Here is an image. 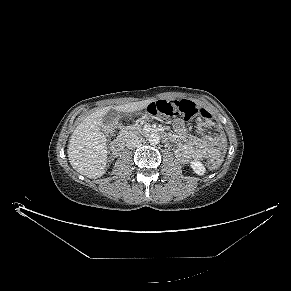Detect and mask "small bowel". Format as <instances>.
Wrapping results in <instances>:
<instances>
[{
	"label": "small bowel",
	"instance_id": "c3829d8e",
	"mask_svg": "<svg viewBox=\"0 0 291 291\" xmlns=\"http://www.w3.org/2000/svg\"><path fill=\"white\" fill-rule=\"evenodd\" d=\"M205 127V123L199 120L197 130L202 132ZM212 127L216 128V132L213 135H202L186 139L184 121L175 120V136L172 137V140L177 143V157L183 162L189 160H220L225 149V137L216 123L212 122Z\"/></svg>",
	"mask_w": 291,
	"mask_h": 291
}]
</instances>
